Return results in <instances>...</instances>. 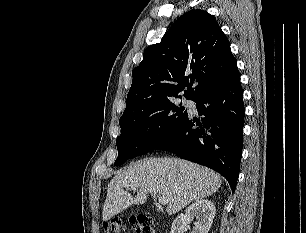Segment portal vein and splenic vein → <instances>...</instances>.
Masks as SVG:
<instances>
[{
	"mask_svg": "<svg viewBox=\"0 0 306 233\" xmlns=\"http://www.w3.org/2000/svg\"><path fill=\"white\" fill-rule=\"evenodd\" d=\"M157 198H158V202H159L160 204L165 205V204L168 203V199H167L166 197H164V196L157 195Z\"/></svg>",
	"mask_w": 306,
	"mask_h": 233,
	"instance_id": "obj_1",
	"label": "portal vein and splenic vein"
}]
</instances>
